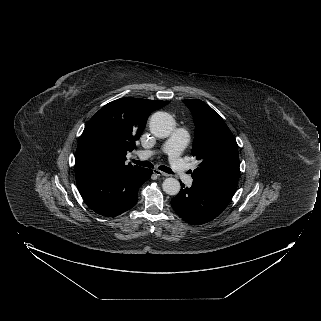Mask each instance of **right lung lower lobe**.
I'll list each match as a JSON object with an SVG mask.
<instances>
[{
  "instance_id": "right-lung-lower-lobe-1",
  "label": "right lung lower lobe",
  "mask_w": 321,
  "mask_h": 321,
  "mask_svg": "<svg viewBox=\"0 0 321 321\" xmlns=\"http://www.w3.org/2000/svg\"><path fill=\"white\" fill-rule=\"evenodd\" d=\"M151 174V169L142 167L124 172H107L78 182L77 187L93 211L106 217H115L137 203L138 189Z\"/></svg>"
}]
</instances>
